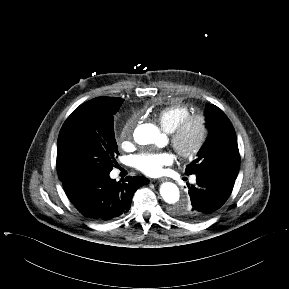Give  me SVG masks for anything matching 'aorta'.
<instances>
[{"instance_id":"762f6f07","label":"aorta","mask_w":289,"mask_h":289,"mask_svg":"<svg viewBox=\"0 0 289 289\" xmlns=\"http://www.w3.org/2000/svg\"><path fill=\"white\" fill-rule=\"evenodd\" d=\"M158 128L152 124L140 125L134 132V139L140 145L157 143L160 140ZM160 194L163 200L173 206V212L179 213L182 209L186 210L189 203L180 202V192L176 184L165 182L160 187Z\"/></svg>"}]
</instances>
